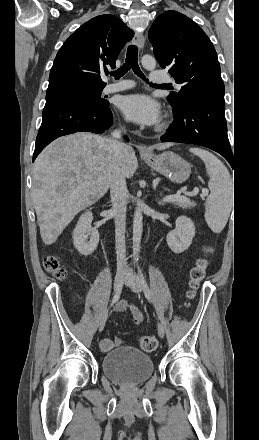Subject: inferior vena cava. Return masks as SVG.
<instances>
[{"label":"inferior vena cava","instance_id":"1","mask_svg":"<svg viewBox=\"0 0 259 440\" xmlns=\"http://www.w3.org/2000/svg\"><path fill=\"white\" fill-rule=\"evenodd\" d=\"M121 135L122 131L117 129L111 133V138L109 139L110 149L114 155L109 185L115 218V246L118 271H124L127 267L125 243L127 187L125 176L122 171L126 144L120 141Z\"/></svg>","mask_w":259,"mask_h":440}]
</instances>
